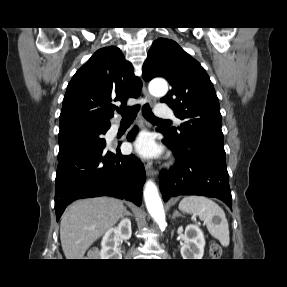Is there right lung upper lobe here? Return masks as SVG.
Returning a JSON list of instances; mask_svg holds the SVG:
<instances>
[{"mask_svg":"<svg viewBox=\"0 0 287 287\" xmlns=\"http://www.w3.org/2000/svg\"><path fill=\"white\" fill-rule=\"evenodd\" d=\"M142 82L133 73L119 48L108 46L96 51L73 76L67 86L59 127L88 122L110 126L115 105L126 106L128 98H138Z\"/></svg>","mask_w":287,"mask_h":287,"instance_id":"obj_1","label":"right lung upper lobe"}]
</instances>
